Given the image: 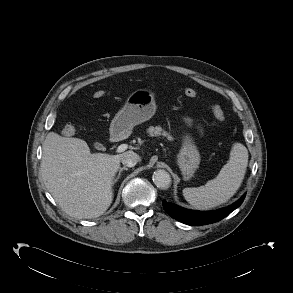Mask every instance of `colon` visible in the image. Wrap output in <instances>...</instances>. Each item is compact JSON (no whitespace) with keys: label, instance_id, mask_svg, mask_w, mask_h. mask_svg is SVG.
Here are the masks:
<instances>
[{"label":"colon","instance_id":"obj_1","mask_svg":"<svg viewBox=\"0 0 293 293\" xmlns=\"http://www.w3.org/2000/svg\"><path fill=\"white\" fill-rule=\"evenodd\" d=\"M105 92L103 90H98L94 92V97L95 98H101L103 97ZM184 95L189 97V98H196L198 96L197 92L191 88H187L184 90ZM211 111L214 115V117L219 121V122H224L225 121V113L223 109L217 105V104H212L210 106ZM75 132L74 127L71 124H67L63 127L62 129V134L64 136H72Z\"/></svg>","mask_w":293,"mask_h":293}]
</instances>
